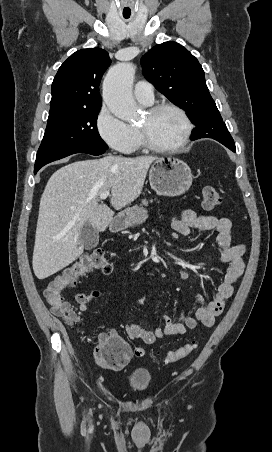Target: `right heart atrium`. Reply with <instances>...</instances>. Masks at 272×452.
Here are the masks:
<instances>
[{"label":"right heart atrium","mask_w":272,"mask_h":452,"mask_svg":"<svg viewBox=\"0 0 272 452\" xmlns=\"http://www.w3.org/2000/svg\"><path fill=\"white\" fill-rule=\"evenodd\" d=\"M95 127L100 138L112 149L125 153L131 151L136 137L135 129L113 115L104 104L96 115Z\"/></svg>","instance_id":"1"}]
</instances>
